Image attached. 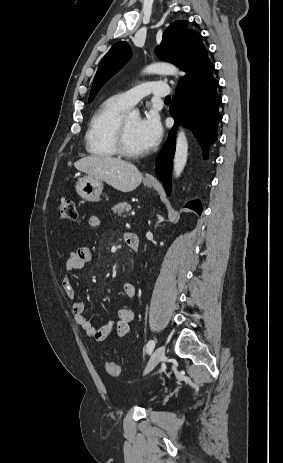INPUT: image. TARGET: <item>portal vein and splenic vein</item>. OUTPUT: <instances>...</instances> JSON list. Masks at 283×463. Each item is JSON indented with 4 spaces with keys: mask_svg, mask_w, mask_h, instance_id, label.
Masks as SVG:
<instances>
[{
    "mask_svg": "<svg viewBox=\"0 0 283 463\" xmlns=\"http://www.w3.org/2000/svg\"><path fill=\"white\" fill-rule=\"evenodd\" d=\"M131 215H135V212H134V211H132V212H131Z\"/></svg>",
    "mask_w": 283,
    "mask_h": 463,
    "instance_id": "obj_1",
    "label": "portal vein and splenic vein"
}]
</instances>
